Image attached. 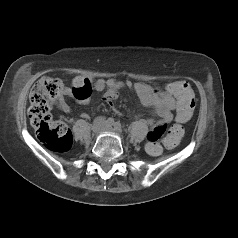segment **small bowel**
Wrapping results in <instances>:
<instances>
[{"label": "small bowel", "mask_w": 238, "mask_h": 238, "mask_svg": "<svg viewBox=\"0 0 238 238\" xmlns=\"http://www.w3.org/2000/svg\"><path fill=\"white\" fill-rule=\"evenodd\" d=\"M180 84L181 82H173L168 84L164 89H161L152 87L143 82H132L130 80L120 81L116 79H98L91 83L88 78L79 76L73 80L72 89L64 90L58 107L63 112H70L71 107L67 103L65 97L71 95H73L80 103H89L92 90H106L105 100L111 102L118 97L119 90L127 88L138 96L140 102L144 106L154 108L158 120L154 121L153 119H149L148 123L153 128L159 125L165 126L174 118L173 111L177 109L178 104L177 94L174 90ZM84 117H86V115H84Z\"/></svg>", "instance_id": "1"}]
</instances>
